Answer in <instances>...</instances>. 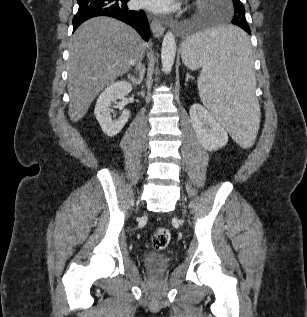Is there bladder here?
<instances>
[{
	"mask_svg": "<svg viewBox=\"0 0 307 317\" xmlns=\"http://www.w3.org/2000/svg\"><path fill=\"white\" fill-rule=\"evenodd\" d=\"M144 266L153 272L162 271L170 264V257L163 253H149L143 259Z\"/></svg>",
	"mask_w": 307,
	"mask_h": 317,
	"instance_id": "bladder-1",
	"label": "bladder"
}]
</instances>
